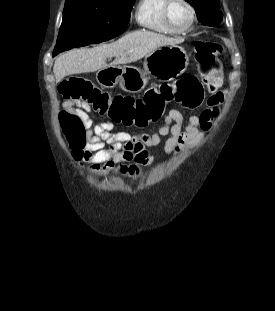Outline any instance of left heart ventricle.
<instances>
[{"instance_id":"left-heart-ventricle-1","label":"left heart ventricle","mask_w":275,"mask_h":311,"mask_svg":"<svg viewBox=\"0 0 275 311\" xmlns=\"http://www.w3.org/2000/svg\"><path fill=\"white\" fill-rule=\"evenodd\" d=\"M169 16L172 23L178 27H186L191 18L190 10L184 2L176 0L170 7Z\"/></svg>"}]
</instances>
